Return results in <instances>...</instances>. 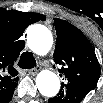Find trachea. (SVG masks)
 I'll return each mask as SVG.
<instances>
[{
  "instance_id": "trachea-1",
  "label": "trachea",
  "mask_w": 103,
  "mask_h": 103,
  "mask_svg": "<svg viewBox=\"0 0 103 103\" xmlns=\"http://www.w3.org/2000/svg\"><path fill=\"white\" fill-rule=\"evenodd\" d=\"M18 65L23 69H30L36 66V61L33 54L31 52L22 53Z\"/></svg>"
}]
</instances>
